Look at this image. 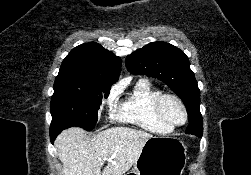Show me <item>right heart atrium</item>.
<instances>
[{
	"label": "right heart atrium",
	"mask_w": 251,
	"mask_h": 175,
	"mask_svg": "<svg viewBox=\"0 0 251 175\" xmlns=\"http://www.w3.org/2000/svg\"><path fill=\"white\" fill-rule=\"evenodd\" d=\"M118 100V91L115 87L111 88L108 95L102 100L101 107L108 110L110 117L114 116V107Z\"/></svg>",
	"instance_id": "right-heart-atrium-1"
}]
</instances>
